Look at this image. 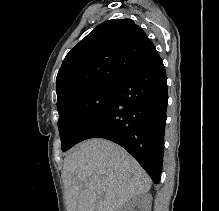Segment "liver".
I'll return each mask as SVG.
<instances>
[{"label": "liver", "instance_id": "1", "mask_svg": "<svg viewBox=\"0 0 219 211\" xmlns=\"http://www.w3.org/2000/svg\"><path fill=\"white\" fill-rule=\"evenodd\" d=\"M62 177L67 211H120L152 183L124 147L103 137L85 139L66 155Z\"/></svg>", "mask_w": 219, "mask_h": 211}]
</instances>
